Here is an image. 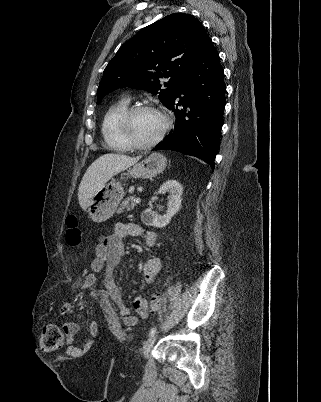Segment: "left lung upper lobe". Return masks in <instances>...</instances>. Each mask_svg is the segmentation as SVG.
<instances>
[{"label": "left lung upper lobe", "mask_w": 321, "mask_h": 402, "mask_svg": "<svg viewBox=\"0 0 321 402\" xmlns=\"http://www.w3.org/2000/svg\"><path fill=\"white\" fill-rule=\"evenodd\" d=\"M210 37L190 14L175 13L141 29L108 63L97 90V103L111 91L132 87L159 94L165 107ZM166 78L165 85L160 79Z\"/></svg>", "instance_id": "obj_1"}]
</instances>
